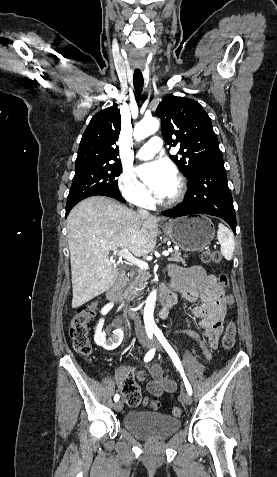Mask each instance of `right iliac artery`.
<instances>
[{"label": "right iliac artery", "mask_w": 277, "mask_h": 477, "mask_svg": "<svg viewBox=\"0 0 277 477\" xmlns=\"http://www.w3.org/2000/svg\"><path fill=\"white\" fill-rule=\"evenodd\" d=\"M152 332H153V331H151V330H150V331H147V335H148V337H149L150 339H152V336H153V335H152ZM154 354H155V349H154V348L150 349V350L147 352V354L145 355L144 361H145V362L150 361V360L153 358ZM118 400H119V395L116 394V395L114 396V401H118Z\"/></svg>", "instance_id": "right-iliac-artery-1"}]
</instances>
